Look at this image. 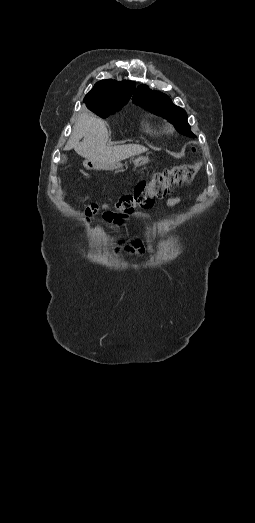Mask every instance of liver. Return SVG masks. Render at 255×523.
Returning <instances> with one entry per match:
<instances>
[{
	"label": "liver",
	"instance_id": "6515ba94",
	"mask_svg": "<svg viewBox=\"0 0 255 523\" xmlns=\"http://www.w3.org/2000/svg\"><path fill=\"white\" fill-rule=\"evenodd\" d=\"M108 140L109 134L103 120L90 114H80L64 150L74 148L79 156L101 166V170H117L121 166V160L147 152V148L137 144L109 148Z\"/></svg>",
	"mask_w": 255,
	"mask_h": 523
}]
</instances>
